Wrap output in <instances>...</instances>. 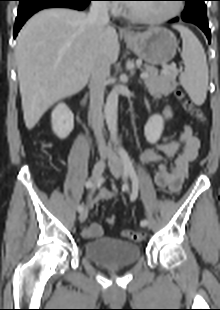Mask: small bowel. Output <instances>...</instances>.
Returning a JSON list of instances; mask_svg holds the SVG:
<instances>
[{
	"label": "small bowel",
	"instance_id": "small-bowel-1",
	"mask_svg": "<svg viewBox=\"0 0 220 310\" xmlns=\"http://www.w3.org/2000/svg\"><path fill=\"white\" fill-rule=\"evenodd\" d=\"M163 113L166 118L172 116L169 107H166ZM199 148V139L190 126H185L177 139L158 144L154 149L145 150L141 155V160L144 164L156 166L153 181L157 187L167 189L170 193H177L182 187L189 164L197 157ZM165 157L173 158L171 166L168 165ZM114 196V192L103 188L95 200L86 202V208H92L96 201L109 200ZM102 234L103 228L99 223H92L83 229V236L90 240Z\"/></svg>",
	"mask_w": 220,
	"mask_h": 310
}]
</instances>
